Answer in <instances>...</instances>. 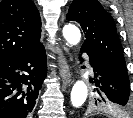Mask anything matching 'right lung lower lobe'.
Segmentation results:
<instances>
[{"label":"right lung lower lobe","mask_w":133,"mask_h":118,"mask_svg":"<svg viewBox=\"0 0 133 118\" xmlns=\"http://www.w3.org/2000/svg\"><path fill=\"white\" fill-rule=\"evenodd\" d=\"M46 52L38 47L0 65V118H27L46 77Z\"/></svg>","instance_id":"right-lung-lower-lobe-1"}]
</instances>
